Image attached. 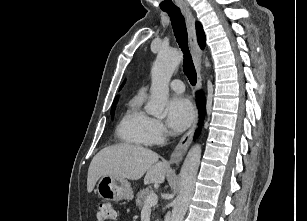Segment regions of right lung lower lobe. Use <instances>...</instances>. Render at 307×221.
Returning a JSON list of instances; mask_svg holds the SVG:
<instances>
[{
    "label": "right lung lower lobe",
    "mask_w": 307,
    "mask_h": 221,
    "mask_svg": "<svg viewBox=\"0 0 307 221\" xmlns=\"http://www.w3.org/2000/svg\"><path fill=\"white\" fill-rule=\"evenodd\" d=\"M197 104L200 111V123L203 121L204 109H205V102L202 94H199V98L197 99ZM199 135V130H197L195 137Z\"/></svg>",
    "instance_id": "1"
}]
</instances>
